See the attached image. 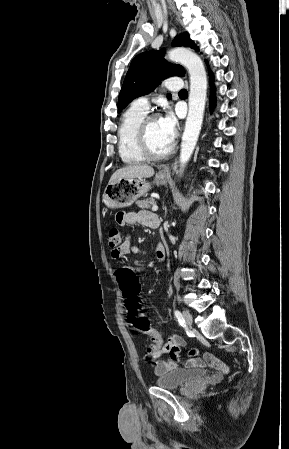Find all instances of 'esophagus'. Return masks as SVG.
<instances>
[{
	"mask_svg": "<svg viewBox=\"0 0 289 449\" xmlns=\"http://www.w3.org/2000/svg\"><path fill=\"white\" fill-rule=\"evenodd\" d=\"M162 171L165 172V173L170 172L169 166H165V167L162 169Z\"/></svg>",
	"mask_w": 289,
	"mask_h": 449,
	"instance_id": "1",
	"label": "esophagus"
}]
</instances>
